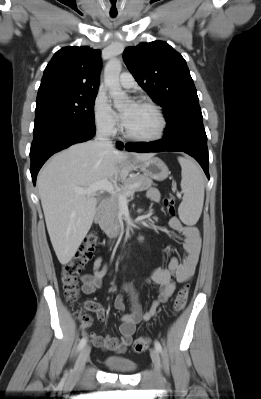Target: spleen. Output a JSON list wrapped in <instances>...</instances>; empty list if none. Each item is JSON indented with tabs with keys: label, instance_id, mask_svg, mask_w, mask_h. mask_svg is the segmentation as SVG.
I'll use <instances>...</instances> for the list:
<instances>
[{
	"label": "spleen",
	"instance_id": "obj_1",
	"mask_svg": "<svg viewBox=\"0 0 261 399\" xmlns=\"http://www.w3.org/2000/svg\"><path fill=\"white\" fill-rule=\"evenodd\" d=\"M182 168L181 189L184 194L178 214L183 223L194 225L200 218L204 202V175L198 165L185 157H178Z\"/></svg>",
	"mask_w": 261,
	"mask_h": 399
}]
</instances>
